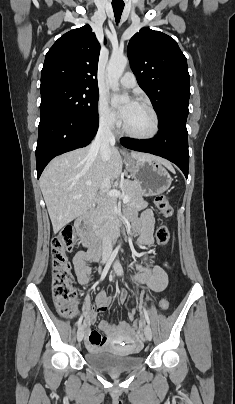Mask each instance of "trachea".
I'll use <instances>...</instances> for the list:
<instances>
[{
  "instance_id": "3493384b",
  "label": "trachea",
  "mask_w": 235,
  "mask_h": 404,
  "mask_svg": "<svg viewBox=\"0 0 235 404\" xmlns=\"http://www.w3.org/2000/svg\"><path fill=\"white\" fill-rule=\"evenodd\" d=\"M112 7H113L116 23H119L120 18H121V14H122L123 9H124V4H112Z\"/></svg>"
}]
</instances>
